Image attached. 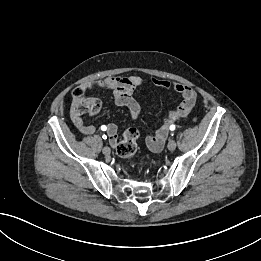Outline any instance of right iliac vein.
Returning <instances> with one entry per match:
<instances>
[{
    "label": "right iliac vein",
    "instance_id": "63e3f726",
    "mask_svg": "<svg viewBox=\"0 0 261 261\" xmlns=\"http://www.w3.org/2000/svg\"><path fill=\"white\" fill-rule=\"evenodd\" d=\"M102 151H103V154H105V155H109V154H110V152H111L110 148H109V147H107V146H106V147H104Z\"/></svg>",
    "mask_w": 261,
    "mask_h": 261
}]
</instances>
